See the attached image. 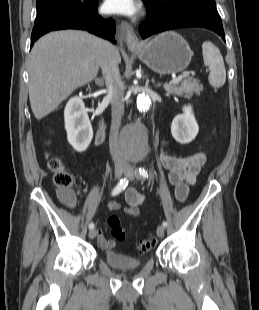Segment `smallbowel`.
Wrapping results in <instances>:
<instances>
[{
	"label": "small bowel",
	"mask_w": 259,
	"mask_h": 310,
	"mask_svg": "<svg viewBox=\"0 0 259 310\" xmlns=\"http://www.w3.org/2000/svg\"><path fill=\"white\" fill-rule=\"evenodd\" d=\"M160 160L164 168L168 170V181L175 189V197L179 202H184L189 194V189L196 182V177L205 162L203 152H197L191 156H173L164 151L160 154ZM125 201L127 206L124 212L129 216H138L141 207L144 204V197L134 188L128 187L125 190ZM107 207L111 211L119 210L122 204L117 201H110ZM97 231V241L105 250H111L115 247V241L107 239L103 232Z\"/></svg>",
	"instance_id": "c3829d8e"
}]
</instances>
